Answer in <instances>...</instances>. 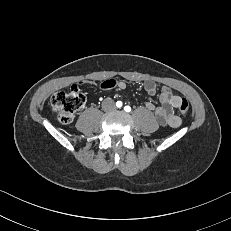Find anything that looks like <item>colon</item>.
<instances>
[{
    "instance_id": "5ec220e1",
    "label": "colon",
    "mask_w": 231,
    "mask_h": 231,
    "mask_svg": "<svg viewBox=\"0 0 231 231\" xmlns=\"http://www.w3.org/2000/svg\"><path fill=\"white\" fill-rule=\"evenodd\" d=\"M85 103L83 92L73 85L67 91L56 92L51 98L52 110L57 115L58 120L63 124H69L73 121L76 112L82 108ZM178 109L185 114L189 110L187 99L182 98Z\"/></svg>"
}]
</instances>
